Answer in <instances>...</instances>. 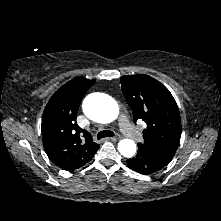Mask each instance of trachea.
Masks as SVG:
<instances>
[{
    "instance_id": "trachea-1",
    "label": "trachea",
    "mask_w": 221,
    "mask_h": 221,
    "mask_svg": "<svg viewBox=\"0 0 221 221\" xmlns=\"http://www.w3.org/2000/svg\"><path fill=\"white\" fill-rule=\"evenodd\" d=\"M115 134L114 132L112 131H109V130H103V131H100L97 135V138L98 140L101 139V138H104V137H113Z\"/></svg>"
}]
</instances>
